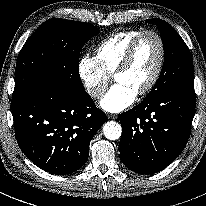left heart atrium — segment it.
Returning <instances> with one entry per match:
<instances>
[{
    "instance_id": "1",
    "label": "left heart atrium",
    "mask_w": 206,
    "mask_h": 206,
    "mask_svg": "<svg viewBox=\"0 0 206 206\" xmlns=\"http://www.w3.org/2000/svg\"><path fill=\"white\" fill-rule=\"evenodd\" d=\"M136 96L132 89L117 83L101 99L100 107L110 113H119L131 106Z\"/></svg>"
}]
</instances>
